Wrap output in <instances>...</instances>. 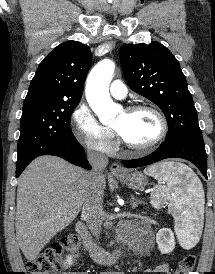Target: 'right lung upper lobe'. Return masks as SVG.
<instances>
[{
	"label": "right lung upper lobe",
	"instance_id": "1",
	"mask_svg": "<svg viewBox=\"0 0 215 274\" xmlns=\"http://www.w3.org/2000/svg\"><path fill=\"white\" fill-rule=\"evenodd\" d=\"M92 55L87 45L68 41L40 63L24 102L35 100L80 102Z\"/></svg>",
	"mask_w": 215,
	"mask_h": 274
}]
</instances>
